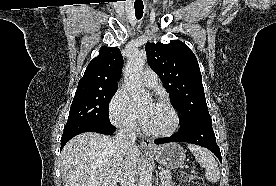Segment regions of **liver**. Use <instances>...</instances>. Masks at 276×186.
Returning a JSON list of instances; mask_svg holds the SVG:
<instances>
[{"label": "liver", "instance_id": "1", "mask_svg": "<svg viewBox=\"0 0 276 186\" xmlns=\"http://www.w3.org/2000/svg\"><path fill=\"white\" fill-rule=\"evenodd\" d=\"M130 157L137 162V146ZM122 162L123 156L111 137L94 132L79 134L60 155L63 186H117Z\"/></svg>", "mask_w": 276, "mask_h": 186}]
</instances>
